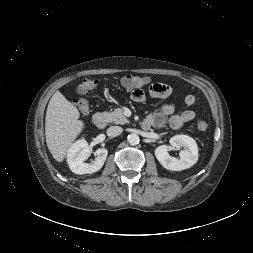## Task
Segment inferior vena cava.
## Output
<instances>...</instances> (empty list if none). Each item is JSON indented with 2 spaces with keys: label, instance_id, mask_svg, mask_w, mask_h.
Returning <instances> with one entry per match:
<instances>
[{
  "label": "inferior vena cava",
  "instance_id": "602c4592",
  "mask_svg": "<svg viewBox=\"0 0 253 253\" xmlns=\"http://www.w3.org/2000/svg\"><path fill=\"white\" fill-rule=\"evenodd\" d=\"M123 129L120 126H111L107 129L108 136H118L122 133Z\"/></svg>",
  "mask_w": 253,
  "mask_h": 253
}]
</instances>
